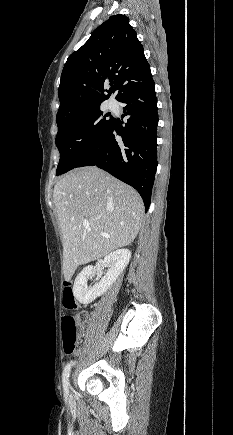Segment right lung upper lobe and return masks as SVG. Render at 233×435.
<instances>
[{
	"label": "right lung upper lobe",
	"mask_w": 233,
	"mask_h": 435,
	"mask_svg": "<svg viewBox=\"0 0 233 435\" xmlns=\"http://www.w3.org/2000/svg\"><path fill=\"white\" fill-rule=\"evenodd\" d=\"M150 73L143 46L128 17L111 16L67 59L61 74L56 120L97 108L114 92L118 100L130 85ZM108 81L114 85L105 95Z\"/></svg>",
	"instance_id": "cb5924a9"
}]
</instances>
